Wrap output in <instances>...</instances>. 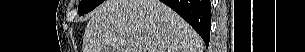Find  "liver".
I'll return each instance as SVG.
<instances>
[{"instance_id":"1","label":"liver","mask_w":305,"mask_h":52,"mask_svg":"<svg viewBox=\"0 0 305 52\" xmlns=\"http://www.w3.org/2000/svg\"><path fill=\"white\" fill-rule=\"evenodd\" d=\"M83 52H202L203 41L159 0H106L91 14Z\"/></svg>"}]
</instances>
